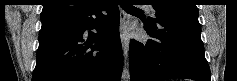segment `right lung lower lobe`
<instances>
[{
  "label": "right lung lower lobe",
  "mask_w": 237,
  "mask_h": 81,
  "mask_svg": "<svg viewBox=\"0 0 237 81\" xmlns=\"http://www.w3.org/2000/svg\"><path fill=\"white\" fill-rule=\"evenodd\" d=\"M119 17L117 5L91 0L76 14L42 21L32 81H120ZM91 29L97 33H85Z\"/></svg>",
  "instance_id": "98d812e1"
}]
</instances>
